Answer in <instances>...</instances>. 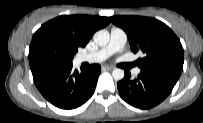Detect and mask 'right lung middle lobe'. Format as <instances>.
I'll return each mask as SVG.
<instances>
[{"instance_id":"obj_1","label":"right lung middle lobe","mask_w":203,"mask_h":123,"mask_svg":"<svg viewBox=\"0 0 203 123\" xmlns=\"http://www.w3.org/2000/svg\"><path fill=\"white\" fill-rule=\"evenodd\" d=\"M78 48L64 34L52 28L38 29L29 47L30 67L36 64H71Z\"/></svg>"}]
</instances>
